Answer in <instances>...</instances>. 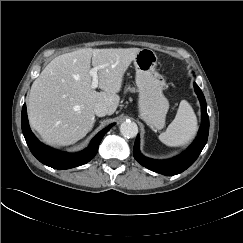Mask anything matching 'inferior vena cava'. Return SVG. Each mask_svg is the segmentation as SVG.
Instances as JSON below:
<instances>
[{
	"label": "inferior vena cava",
	"mask_w": 243,
	"mask_h": 243,
	"mask_svg": "<svg viewBox=\"0 0 243 243\" xmlns=\"http://www.w3.org/2000/svg\"><path fill=\"white\" fill-rule=\"evenodd\" d=\"M94 112L97 116L103 117L108 114V108L106 105L102 103H98L94 107Z\"/></svg>",
	"instance_id": "obj_1"
}]
</instances>
